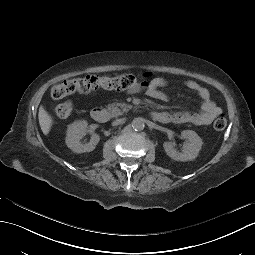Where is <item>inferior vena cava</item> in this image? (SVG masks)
Segmentation results:
<instances>
[{
	"label": "inferior vena cava",
	"instance_id": "obj_1",
	"mask_svg": "<svg viewBox=\"0 0 255 255\" xmlns=\"http://www.w3.org/2000/svg\"><path fill=\"white\" fill-rule=\"evenodd\" d=\"M123 122H124V119H117V120L112 122V125L117 126V125L122 124Z\"/></svg>",
	"mask_w": 255,
	"mask_h": 255
}]
</instances>
